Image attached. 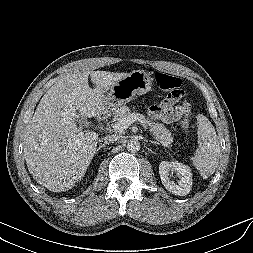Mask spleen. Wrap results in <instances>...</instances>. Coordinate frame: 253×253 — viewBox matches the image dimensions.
Instances as JSON below:
<instances>
[{
  "label": "spleen",
  "instance_id": "1",
  "mask_svg": "<svg viewBox=\"0 0 253 253\" xmlns=\"http://www.w3.org/2000/svg\"><path fill=\"white\" fill-rule=\"evenodd\" d=\"M198 148L191 158L192 165L206 179L215 172L221 155L216 131L211 122L204 115L197 116Z\"/></svg>",
  "mask_w": 253,
  "mask_h": 253
}]
</instances>
